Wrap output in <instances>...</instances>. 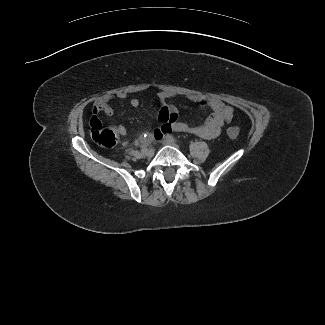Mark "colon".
Wrapping results in <instances>:
<instances>
[{
    "mask_svg": "<svg viewBox=\"0 0 325 325\" xmlns=\"http://www.w3.org/2000/svg\"><path fill=\"white\" fill-rule=\"evenodd\" d=\"M90 134L92 139L100 146L113 147L118 139V133L112 128L104 127L97 116H92L90 119ZM227 134L231 138H236L239 135L237 127H228Z\"/></svg>",
    "mask_w": 325,
    "mask_h": 325,
    "instance_id": "colon-1",
    "label": "colon"
}]
</instances>
